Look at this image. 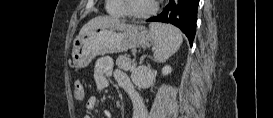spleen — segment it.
Segmentation results:
<instances>
[{
	"mask_svg": "<svg viewBox=\"0 0 273 118\" xmlns=\"http://www.w3.org/2000/svg\"><path fill=\"white\" fill-rule=\"evenodd\" d=\"M150 34L154 41V57L158 62H164L180 48L182 35L180 31L168 24H150Z\"/></svg>",
	"mask_w": 273,
	"mask_h": 118,
	"instance_id": "spleen-1",
	"label": "spleen"
}]
</instances>
